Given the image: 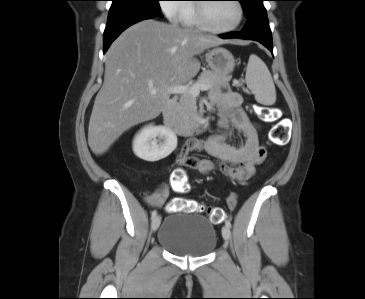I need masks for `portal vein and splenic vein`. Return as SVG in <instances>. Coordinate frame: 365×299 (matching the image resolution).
<instances>
[{
  "instance_id": "1",
  "label": "portal vein and splenic vein",
  "mask_w": 365,
  "mask_h": 299,
  "mask_svg": "<svg viewBox=\"0 0 365 299\" xmlns=\"http://www.w3.org/2000/svg\"><path fill=\"white\" fill-rule=\"evenodd\" d=\"M210 89V86L208 84H194L192 86L188 85H176L173 87H170L167 89L169 93L172 94H190L194 97L198 96L200 94V91H207ZM151 94H156L157 90L151 88L150 89Z\"/></svg>"
}]
</instances>
